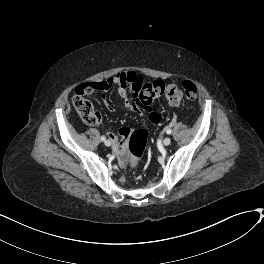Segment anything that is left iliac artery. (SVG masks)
I'll return each mask as SVG.
<instances>
[{"label":"left iliac artery","mask_w":264,"mask_h":264,"mask_svg":"<svg viewBox=\"0 0 264 264\" xmlns=\"http://www.w3.org/2000/svg\"><path fill=\"white\" fill-rule=\"evenodd\" d=\"M166 132H167V134H171L172 133V130L171 129H168Z\"/></svg>","instance_id":"44dca946"}]
</instances>
